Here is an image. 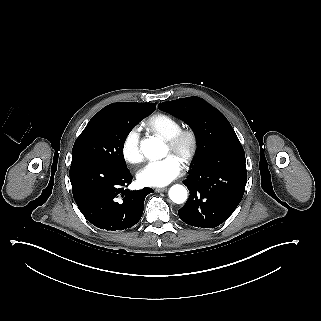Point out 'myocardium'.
Instances as JSON below:
<instances>
[{
	"label": "myocardium",
	"mask_w": 321,
	"mask_h": 321,
	"mask_svg": "<svg viewBox=\"0 0 321 321\" xmlns=\"http://www.w3.org/2000/svg\"><path fill=\"white\" fill-rule=\"evenodd\" d=\"M169 150L177 154L185 166L190 165L198 151V135L193 128L179 130L170 138H164Z\"/></svg>",
	"instance_id": "obj_1"
}]
</instances>
